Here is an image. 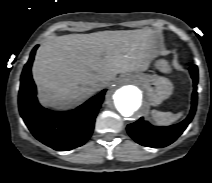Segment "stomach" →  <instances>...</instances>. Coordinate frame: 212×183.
Returning a JSON list of instances; mask_svg holds the SVG:
<instances>
[{
    "mask_svg": "<svg viewBox=\"0 0 212 183\" xmlns=\"http://www.w3.org/2000/svg\"><path fill=\"white\" fill-rule=\"evenodd\" d=\"M155 66L164 73L171 71L168 62L164 59L157 60ZM128 76L141 85L145 90L148 103L152 106L161 104L172 94L173 85L166 77L147 75L142 72L131 73Z\"/></svg>",
    "mask_w": 212,
    "mask_h": 183,
    "instance_id": "1",
    "label": "stomach"
}]
</instances>
